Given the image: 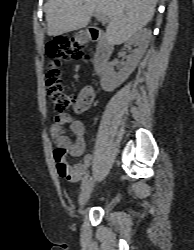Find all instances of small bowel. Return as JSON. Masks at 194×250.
Masks as SVG:
<instances>
[{
    "label": "small bowel",
    "mask_w": 194,
    "mask_h": 250,
    "mask_svg": "<svg viewBox=\"0 0 194 250\" xmlns=\"http://www.w3.org/2000/svg\"><path fill=\"white\" fill-rule=\"evenodd\" d=\"M95 98V90L91 85H85L81 88L77 97V105L75 112L77 114L87 111ZM68 126L70 132L74 136L72 141L66 134L65 127ZM50 133L57 149H63L65 152L74 157H79L85 149V133L86 128L82 121L74 119L68 113H60L56 115L50 126ZM92 164V156H84L81 162L74 166L67 165V170L63 171L60 163L57 161L58 174L70 182H79L88 173Z\"/></svg>",
    "instance_id": "obj_1"
}]
</instances>
